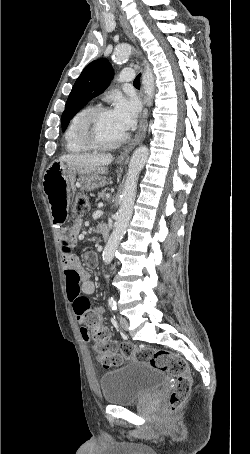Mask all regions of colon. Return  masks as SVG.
Listing matches in <instances>:
<instances>
[{
    "instance_id": "5ec220e1",
    "label": "colon",
    "mask_w": 250,
    "mask_h": 454,
    "mask_svg": "<svg viewBox=\"0 0 250 454\" xmlns=\"http://www.w3.org/2000/svg\"><path fill=\"white\" fill-rule=\"evenodd\" d=\"M89 208V197L85 193H78L75 199V214L83 215L88 212ZM88 327L93 349L103 366L106 368L117 366L124 359L132 358L171 375L175 378V386L169 398V411L175 412L182 407L190 396L192 377L188 364L181 355L164 349L137 347L130 343L121 345L118 350L116 344L110 340V331L104 325L101 316H91L88 320Z\"/></svg>"
}]
</instances>
